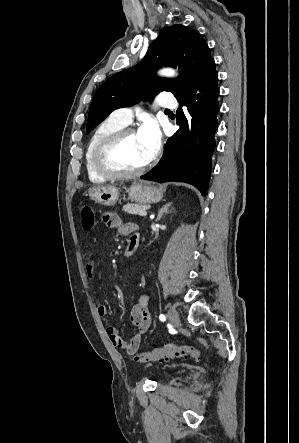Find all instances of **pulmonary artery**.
I'll use <instances>...</instances> for the list:
<instances>
[{"label":"pulmonary artery","instance_id":"obj_1","mask_svg":"<svg viewBox=\"0 0 299 443\" xmlns=\"http://www.w3.org/2000/svg\"><path fill=\"white\" fill-rule=\"evenodd\" d=\"M155 103L159 107L170 109L175 106L176 99L172 93H162L156 97ZM133 113L134 111L132 108L124 107L115 110L111 114V117L126 126L131 123Z\"/></svg>","mask_w":299,"mask_h":443}]
</instances>
